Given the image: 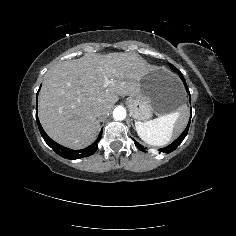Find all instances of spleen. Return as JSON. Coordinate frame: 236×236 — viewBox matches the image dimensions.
<instances>
[{
  "instance_id": "spleen-1",
  "label": "spleen",
  "mask_w": 236,
  "mask_h": 236,
  "mask_svg": "<svg viewBox=\"0 0 236 236\" xmlns=\"http://www.w3.org/2000/svg\"><path fill=\"white\" fill-rule=\"evenodd\" d=\"M182 115L183 111H177L151 121L136 123L137 133L149 145L165 146L171 142L176 125Z\"/></svg>"
}]
</instances>
